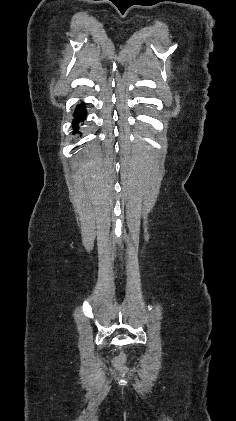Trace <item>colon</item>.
<instances>
[{
    "label": "colon",
    "mask_w": 236,
    "mask_h": 421,
    "mask_svg": "<svg viewBox=\"0 0 236 421\" xmlns=\"http://www.w3.org/2000/svg\"><path fill=\"white\" fill-rule=\"evenodd\" d=\"M124 363H125V357L123 355H119L114 359V365L117 368L123 367Z\"/></svg>",
    "instance_id": "obj_1"
}]
</instances>
